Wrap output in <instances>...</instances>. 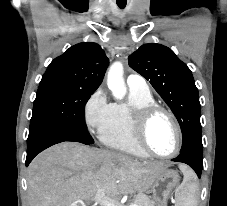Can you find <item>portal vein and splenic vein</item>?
I'll list each match as a JSON object with an SVG mask.
<instances>
[{"label":"portal vein and splenic vein","mask_w":227,"mask_h":206,"mask_svg":"<svg viewBox=\"0 0 227 206\" xmlns=\"http://www.w3.org/2000/svg\"><path fill=\"white\" fill-rule=\"evenodd\" d=\"M93 201L99 202L104 206H118L116 201L108 198L105 196V191L104 190H99L95 196L92 198ZM82 206H85L84 202H80ZM71 206H78L77 202H73ZM130 206H137L136 204H131Z\"/></svg>","instance_id":"18ae733b"}]
</instances>
